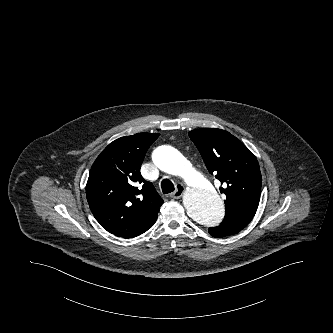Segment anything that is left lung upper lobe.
<instances>
[{"label": "left lung upper lobe", "mask_w": 333, "mask_h": 333, "mask_svg": "<svg viewBox=\"0 0 333 333\" xmlns=\"http://www.w3.org/2000/svg\"><path fill=\"white\" fill-rule=\"evenodd\" d=\"M189 137L208 171L224 185L220 188L226 196L223 222L247 226L257 211L262 185L256 157L240 140L222 129H196L189 132Z\"/></svg>", "instance_id": "5c2ea615"}]
</instances>
